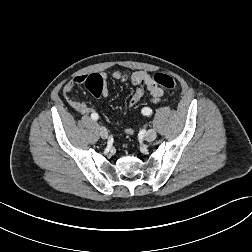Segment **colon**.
Returning <instances> with one entry per match:
<instances>
[{
	"label": "colon",
	"instance_id": "colon-1",
	"mask_svg": "<svg viewBox=\"0 0 252 252\" xmlns=\"http://www.w3.org/2000/svg\"><path fill=\"white\" fill-rule=\"evenodd\" d=\"M153 80L156 84L161 85L166 89L173 90L176 88L175 80L167 74L156 73L153 75ZM84 85L95 97H101L105 93V91H107L106 80L100 74L95 73L87 76ZM142 85L143 84H140L131 96L129 100V105L131 107L136 106L142 100L144 96V89Z\"/></svg>",
	"mask_w": 252,
	"mask_h": 252
}]
</instances>
